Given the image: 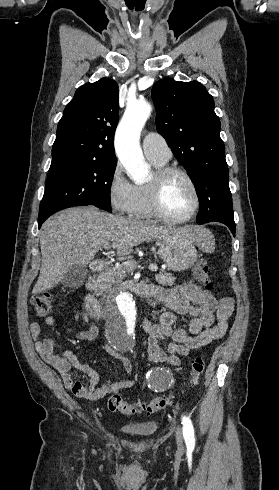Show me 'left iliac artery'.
Listing matches in <instances>:
<instances>
[{"instance_id": "1", "label": "left iliac artery", "mask_w": 279, "mask_h": 490, "mask_svg": "<svg viewBox=\"0 0 279 490\" xmlns=\"http://www.w3.org/2000/svg\"><path fill=\"white\" fill-rule=\"evenodd\" d=\"M183 436L188 449L193 450L195 446L194 428L189 417H182Z\"/></svg>"}]
</instances>
